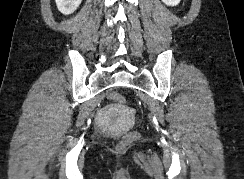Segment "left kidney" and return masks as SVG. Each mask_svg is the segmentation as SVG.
<instances>
[{
  "mask_svg": "<svg viewBox=\"0 0 244 179\" xmlns=\"http://www.w3.org/2000/svg\"><path fill=\"white\" fill-rule=\"evenodd\" d=\"M162 2H164V4H166V6H178L179 2H181V0H162Z\"/></svg>",
  "mask_w": 244,
  "mask_h": 179,
  "instance_id": "left-kidney-1",
  "label": "left kidney"
}]
</instances>
